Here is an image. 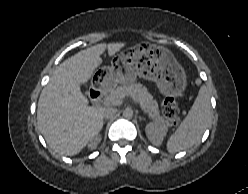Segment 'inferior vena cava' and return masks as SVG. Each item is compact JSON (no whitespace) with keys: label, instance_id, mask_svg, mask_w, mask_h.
Masks as SVG:
<instances>
[{"label":"inferior vena cava","instance_id":"obj_1","mask_svg":"<svg viewBox=\"0 0 248 194\" xmlns=\"http://www.w3.org/2000/svg\"><path fill=\"white\" fill-rule=\"evenodd\" d=\"M117 112V109L114 107H106L103 110V116L107 119L111 118L113 115H115Z\"/></svg>","mask_w":248,"mask_h":194}]
</instances>
